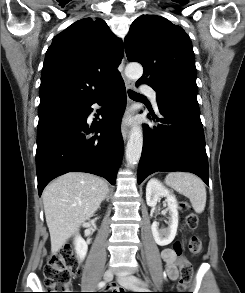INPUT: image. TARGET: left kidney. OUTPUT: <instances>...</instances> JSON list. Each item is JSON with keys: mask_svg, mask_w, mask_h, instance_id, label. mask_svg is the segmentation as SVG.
Listing matches in <instances>:
<instances>
[{"mask_svg": "<svg viewBox=\"0 0 245 293\" xmlns=\"http://www.w3.org/2000/svg\"><path fill=\"white\" fill-rule=\"evenodd\" d=\"M160 197H166L169 210V226L166 229H159V224L154 221L151 230L155 242L160 246L170 244L177 233L178 227V202L174 195L170 194L169 190L157 179H151L146 186V202L147 205L155 208Z\"/></svg>", "mask_w": 245, "mask_h": 293, "instance_id": "obj_1", "label": "left kidney"}]
</instances>
